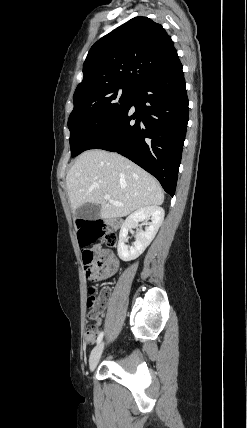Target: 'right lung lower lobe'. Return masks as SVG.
<instances>
[{
	"mask_svg": "<svg viewBox=\"0 0 247 428\" xmlns=\"http://www.w3.org/2000/svg\"><path fill=\"white\" fill-rule=\"evenodd\" d=\"M188 123V98L177 58L135 90L124 112L87 148L117 152L175 194Z\"/></svg>",
	"mask_w": 247,
	"mask_h": 428,
	"instance_id": "1",
	"label": "right lung lower lobe"
}]
</instances>
